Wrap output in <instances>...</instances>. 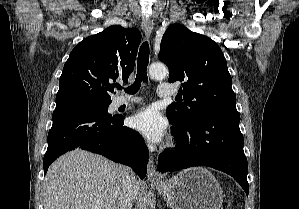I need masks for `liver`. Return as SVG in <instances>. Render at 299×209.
Returning <instances> with one entry per match:
<instances>
[{
  "label": "liver",
  "mask_w": 299,
  "mask_h": 209,
  "mask_svg": "<svg viewBox=\"0 0 299 209\" xmlns=\"http://www.w3.org/2000/svg\"><path fill=\"white\" fill-rule=\"evenodd\" d=\"M122 166L91 152L76 149L59 157L46 174L44 209H117L123 193ZM140 181L132 187L136 201Z\"/></svg>",
  "instance_id": "6515ba94"
}]
</instances>
